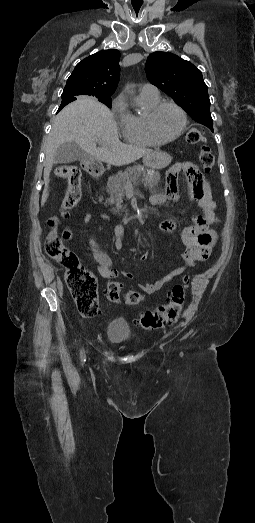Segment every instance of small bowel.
<instances>
[{
	"mask_svg": "<svg viewBox=\"0 0 255 523\" xmlns=\"http://www.w3.org/2000/svg\"><path fill=\"white\" fill-rule=\"evenodd\" d=\"M181 168L185 172L188 180L190 196L198 202L202 215L194 217V225L186 227L182 231L181 237L185 246V251L182 254L184 265L170 270L166 275L152 283H140V289L146 294H152L160 290L165 284L178 277L187 268L193 267L197 261H205L208 259L216 241V233L212 226L217 224L219 219L215 213L216 204L213 201L210 186L195 164L187 162L181 165ZM168 197L172 199L177 197L176 184L171 185ZM165 199L164 196L157 195L152 197L151 202L157 205L164 202ZM101 217L107 218L104 214ZM92 220L93 216L91 214H87L84 217L85 223H91ZM177 226L176 220L168 219L160 222L159 229L164 232H172ZM123 236L124 226L122 224L116 225L114 228L115 249L121 250L123 248ZM63 239H70L69 230L64 232ZM92 252L94 260L97 263V270L102 278L110 279L117 276L118 271L112 267V259L106 252L101 250L94 241L92 243ZM148 257L149 253L145 252L141 255L140 260H146ZM121 274L128 279L133 278L131 272L122 271Z\"/></svg>",
	"mask_w": 255,
	"mask_h": 523,
	"instance_id": "small-bowel-1",
	"label": "small bowel"
}]
</instances>
